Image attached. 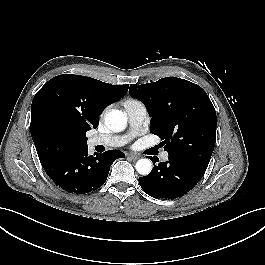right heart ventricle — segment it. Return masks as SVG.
Listing matches in <instances>:
<instances>
[{
    "mask_svg": "<svg viewBox=\"0 0 265 265\" xmlns=\"http://www.w3.org/2000/svg\"><path fill=\"white\" fill-rule=\"evenodd\" d=\"M127 101H136V100L129 99V100H127Z\"/></svg>",
    "mask_w": 265,
    "mask_h": 265,
    "instance_id": "obj_1",
    "label": "right heart ventricle"
}]
</instances>
